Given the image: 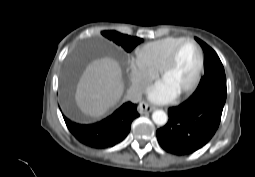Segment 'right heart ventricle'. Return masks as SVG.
Returning a JSON list of instances; mask_svg holds the SVG:
<instances>
[{"mask_svg":"<svg viewBox=\"0 0 255 177\" xmlns=\"http://www.w3.org/2000/svg\"><path fill=\"white\" fill-rule=\"evenodd\" d=\"M183 37H167L145 44L137 53L147 64L160 70Z\"/></svg>","mask_w":255,"mask_h":177,"instance_id":"right-heart-ventricle-1","label":"right heart ventricle"}]
</instances>
